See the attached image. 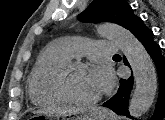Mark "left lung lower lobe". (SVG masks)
<instances>
[{
  "label": "left lung lower lobe",
  "instance_id": "0a47b994",
  "mask_svg": "<svg viewBox=\"0 0 165 120\" xmlns=\"http://www.w3.org/2000/svg\"><path fill=\"white\" fill-rule=\"evenodd\" d=\"M131 33L142 43L146 51L155 63L159 75V96L156 103L154 115L150 120H161L165 115V57L162 56L160 46L153 39V32L142 21L137 18ZM124 63L129 66L127 60L124 58ZM133 87V77L120 80V87L118 92L103 106L113 110L118 115H125L131 117L128 112V101L130 92Z\"/></svg>",
  "mask_w": 165,
  "mask_h": 120
}]
</instances>
